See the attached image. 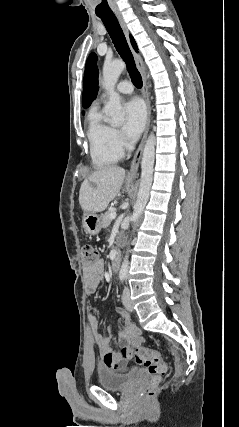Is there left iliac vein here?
<instances>
[{
	"mask_svg": "<svg viewBox=\"0 0 239 427\" xmlns=\"http://www.w3.org/2000/svg\"><path fill=\"white\" fill-rule=\"evenodd\" d=\"M122 300H123V305L125 306V308L129 311H133V305H132V302L130 299V291L127 287H125L123 290Z\"/></svg>",
	"mask_w": 239,
	"mask_h": 427,
	"instance_id": "1",
	"label": "left iliac vein"
}]
</instances>
